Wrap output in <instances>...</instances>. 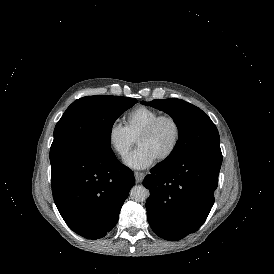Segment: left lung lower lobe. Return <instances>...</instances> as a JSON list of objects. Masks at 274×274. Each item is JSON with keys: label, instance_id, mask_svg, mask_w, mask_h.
Segmentation results:
<instances>
[{"label": "left lung lower lobe", "instance_id": "obj_1", "mask_svg": "<svg viewBox=\"0 0 274 274\" xmlns=\"http://www.w3.org/2000/svg\"><path fill=\"white\" fill-rule=\"evenodd\" d=\"M221 150H204L151 169L143 185L150 190L147 218L161 238L176 241L197 231L214 203Z\"/></svg>", "mask_w": 274, "mask_h": 274}]
</instances>
